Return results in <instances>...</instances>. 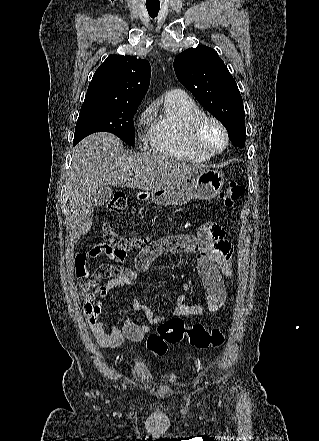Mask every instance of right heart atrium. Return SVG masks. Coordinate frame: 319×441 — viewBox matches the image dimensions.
Instances as JSON below:
<instances>
[{"label":"right heart atrium","mask_w":319,"mask_h":441,"mask_svg":"<svg viewBox=\"0 0 319 441\" xmlns=\"http://www.w3.org/2000/svg\"><path fill=\"white\" fill-rule=\"evenodd\" d=\"M153 113V106L148 105L145 107L140 114L137 116L135 127L137 136L142 145H145L149 142L150 139V130L151 125L148 124V120L150 119Z\"/></svg>","instance_id":"right-heart-atrium-1"}]
</instances>
